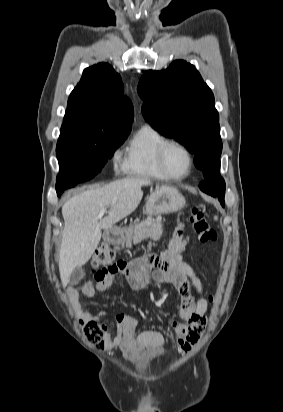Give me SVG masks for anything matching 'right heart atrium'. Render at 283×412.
<instances>
[{"mask_svg": "<svg viewBox=\"0 0 283 412\" xmlns=\"http://www.w3.org/2000/svg\"><path fill=\"white\" fill-rule=\"evenodd\" d=\"M114 161H115V163L118 162V154L117 153L114 154Z\"/></svg>", "mask_w": 283, "mask_h": 412, "instance_id": "right-heart-atrium-1", "label": "right heart atrium"}]
</instances>
